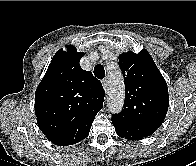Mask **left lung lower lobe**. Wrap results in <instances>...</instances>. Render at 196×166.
Wrapping results in <instances>:
<instances>
[{
    "mask_svg": "<svg viewBox=\"0 0 196 166\" xmlns=\"http://www.w3.org/2000/svg\"><path fill=\"white\" fill-rule=\"evenodd\" d=\"M114 127H115V131H116L117 135L120 137H124L125 139H128V140H141V139H143L142 137L131 134L130 132L122 129L121 127H118V126H114Z\"/></svg>",
    "mask_w": 196,
    "mask_h": 166,
    "instance_id": "left-lung-lower-lobe-1",
    "label": "left lung lower lobe"
}]
</instances>
